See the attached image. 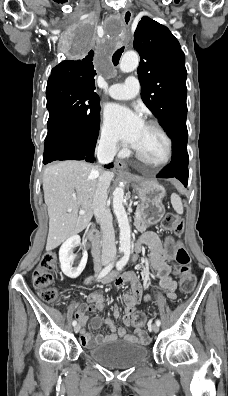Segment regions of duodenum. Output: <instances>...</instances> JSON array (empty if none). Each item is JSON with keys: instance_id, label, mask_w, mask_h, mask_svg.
<instances>
[{"instance_id": "obj_1", "label": "duodenum", "mask_w": 228, "mask_h": 396, "mask_svg": "<svg viewBox=\"0 0 228 396\" xmlns=\"http://www.w3.org/2000/svg\"><path fill=\"white\" fill-rule=\"evenodd\" d=\"M88 238L92 245V252H93L94 256L97 257L99 255V244H98L97 232H95V231L90 232ZM117 276H119L118 273H113V277H117Z\"/></svg>"}]
</instances>
